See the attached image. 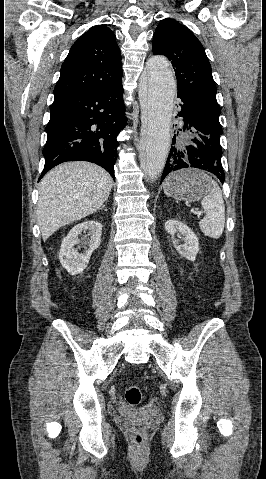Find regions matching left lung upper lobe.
<instances>
[{"label": "left lung upper lobe", "mask_w": 266, "mask_h": 479, "mask_svg": "<svg viewBox=\"0 0 266 479\" xmlns=\"http://www.w3.org/2000/svg\"><path fill=\"white\" fill-rule=\"evenodd\" d=\"M152 51L171 60L177 78V96L186 98L222 134L212 69L196 36L175 19H163L153 35Z\"/></svg>", "instance_id": "5c2ea615"}]
</instances>
